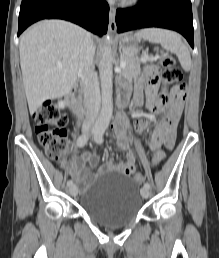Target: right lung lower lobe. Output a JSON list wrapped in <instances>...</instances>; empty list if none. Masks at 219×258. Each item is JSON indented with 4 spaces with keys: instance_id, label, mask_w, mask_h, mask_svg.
I'll return each instance as SVG.
<instances>
[{
    "instance_id": "obj_1",
    "label": "right lung lower lobe",
    "mask_w": 219,
    "mask_h": 258,
    "mask_svg": "<svg viewBox=\"0 0 219 258\" xmlns=\"http://www.w3.org/2000/svg\"><path fill=\"white\" fill-rule=\"evenodd\" d=\"M108 14L104 0H22L18 36L34 22L50 18L71 21L102 36L107 32Z\"/></svg>"
}]
</instances>
